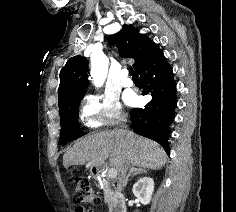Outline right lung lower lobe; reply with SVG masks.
<instances>
[{"instance_id": "98d812e1", "label": "right lung lower lobe", "mask_w": 236, "mask_h": 212, "mask_svg": "<svg viewBox=\"0 0 236 212\" xmlns=\"http://www.w3.org/2000/svg\"><path fill=\"white\" fill-rule=\"evenodd\" d=\"M137 74L143 87L142 95L151 94L152 100L143 108L130 111L133 130L155 140L169 153L168 137L177 101L172 68L156 46Z\"/></svg>"}]
</instances>
